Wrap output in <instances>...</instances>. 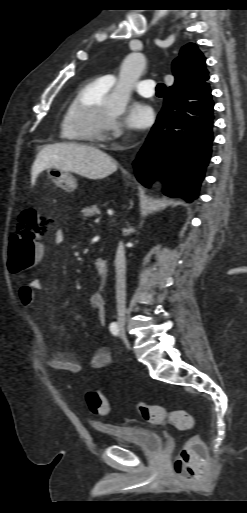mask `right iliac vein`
Instances as JSON below:
<instances>
[{"mask_svg": "<svg viewBox=\"0 0 247 513\" xmlns=\"http://www.w3.org/2000/svg\"><path fill=\"white\" fill-rule=\"evenodd\" d=\"M119 327H120V331H121V335H122L123 339L126 342H128L127 336H126V331H125V323L124 322H120Z\"/></svg>", "mask_w": 247, "mask_h": 513, "instance_id": "obj_1", "label": "right iliac vein"}]
</instances>
